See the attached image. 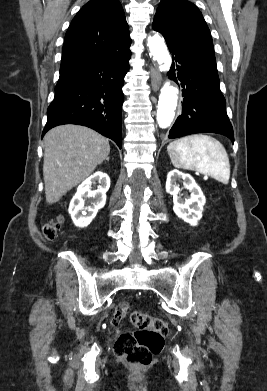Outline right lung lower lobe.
<instances>
[{
	"instance_id": "right-lung-lower-lobe-1",
	"label": "right lung lower lobe",
	"mask_w": 267,
	"mask_h": 391,
	"mask_svg": "<svg viewBox=\"0 0 267 391\" xmlns=\"http://www.w3.org/2000/svg\"><path fill=\"white\" fill-rule=\"evenodd\" d=\"M130 56L128 48L60 73L42 137L55 126L79 124L112 139L121 148V88Z\"/></svg>"
}]
</instances>
